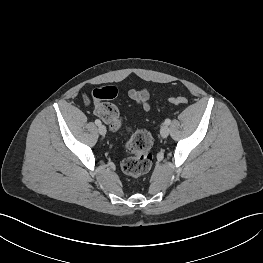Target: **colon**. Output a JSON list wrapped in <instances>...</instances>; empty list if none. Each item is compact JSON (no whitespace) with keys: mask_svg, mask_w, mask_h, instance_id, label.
<instances>
[{"mask_svg":"<svg viewBox=\"0 0 263 263\" xmlns=\"http://www.w3.org/2000/svg\"><path fill=\"white\" fill-rule=\"evenodd\" d=\"M116 95L117 90L112 86H99L92 92L93 100L97 103L95 113L111 131H120L124 128L123 117L116 106L110 102ZM171 102L175 105H184L187 99L183 96H175L171 98ZM127 132L128 139L125 149L130 156L122 161L121 169L127 176L136 179L147 173L152 167L153 138L148 131L142 129H127Z\"/></svg>","mask_w":263,"mask_h":263,"instance_id":"obj_1","label":"colon"}]
</instances>
